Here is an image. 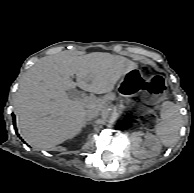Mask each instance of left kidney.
Listing matches in <instances>:
<instances>
[{
    "label": "left kidney",
    "instance_id": "5707ae66",
    "mask_svg": "<svg viewBox=\"0 0 194 193\" xmlns=\"http://www.w3.org/2000/svg\"><path fill=\"white\" fill-rule=\"evenodd\" d=\"M144 135L143 132L138 131L132 134V154L138 158L146 159L156 157L160 154L161 143L156 136L151 133L146 134V145L148 149L144 148L141 144L142 141L140 137Z\"/></svg>",
    "mask_w": 194,
    "mask_h": 193
}]
</instances>
